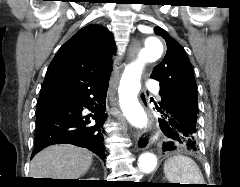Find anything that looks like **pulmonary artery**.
<instances>
[{
	"instance_id": "pulmonary-artery-1",
	"label": "pulmonary artery",
	"mask_w": 240,
	"mask_h": 187,
	"mask_svg": "<svg viewBox=\"0 0 240 187\" xmlns=\"http://www.w3.org/2000/svg\"><path fill=\"white\" fill-rule=\"evenodd\" d=\"M148 88L150 89V90H152V91H158V89H159V85H158V83L156 82V81H154V80H149L148 81Z\"/></svg>"
}]
</instances>
